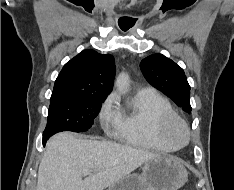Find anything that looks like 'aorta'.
Here are the masks:
<instances>
[{"label": "aorta", "instance_id": "1", "mask_svg": "<svg viewBox=\"0 0 234 190\" xmlns=\"http://www.w3.org/2000/svg\"><path fill=\"white\" fill-rule=\"evenodd\" d=\"M117 89L124 93L129 87V76L126 73H121L116 79Z\"/></svg>", "mask_w": 234, "mask_h": 190}]
</instances>
